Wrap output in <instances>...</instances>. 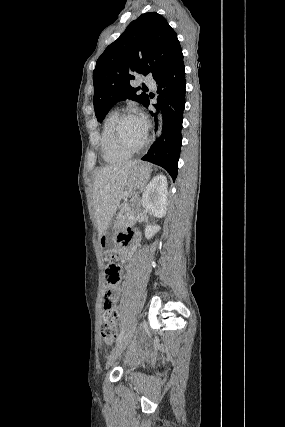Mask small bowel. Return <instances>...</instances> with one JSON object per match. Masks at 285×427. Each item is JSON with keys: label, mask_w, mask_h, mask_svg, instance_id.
<instances>
[{"label": "small bowel", "mask_w": 285, "mask_h": 427, "mask_svg": "<svg viewBox=\"0 0 285 427\" xmlns=\"http://www.w3.org/2000/svg\"><path fill=\"white\" fill-rule=\"evenodd\" d=\"M138 231L136 230H127L126 235L122 236L120 238V243L127 245V244H133L136 245L138 243ZM120 299V287L116 286L112 289L111 294L108 296L106 293L103 298V308L105 306V303L110 301L112 304H116Z\"/></svg>", "instance_id": "obj_1"}]
</instances>
